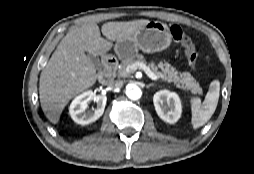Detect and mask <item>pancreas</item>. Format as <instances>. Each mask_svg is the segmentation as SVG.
Segmentation results:
<instances>
[{"label": "pancreas", "instance_id": "pancreas-1", "mask_svg": "<svg viewBox=\"0 0 254 174\" xmlns=\"http://www.w3.org/2000/svg\"><path fill=\"white\" fill-rule=\"evenodd\" d=\"M135 62L147 63L143 55L139 54L134 58L125 59L119 65L117 74L119 77H129L133 72H127V67ZM153 72L158 79L174 83L177 87L188 90L193 94H201L202 88L196 82V79L189 72L179 73L169 63L159 62L157 66H153Z\"/></svg>", "mask_w": 254, "mask_h": 174}]
</instances>
